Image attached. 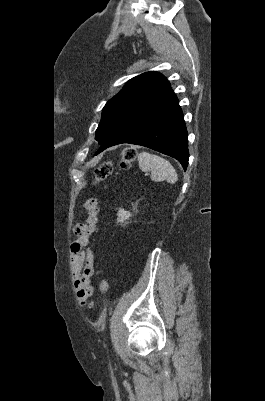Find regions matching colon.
<instances>
[{
  "mask_svg": "<svg viewBox=\"0 0 265 401\" xmlns=\"http://www.w3.org/2000/svg\"><path fill=\"white\" fill-rule=\"evenodd\" d=\"M136 158V151L132 148H126L120 156V163L123 168H130ZM112 172V163L107 161L101 163L94 171V184H98L105 180ZM100 288L104 295L108 293V282L106 279L100 281Z\"/></svg>",
  "mask_w": 265,
  "mask_h": 401,
  "instance_id": "colon-1",
  "label": "colon"
}]
</instances>
